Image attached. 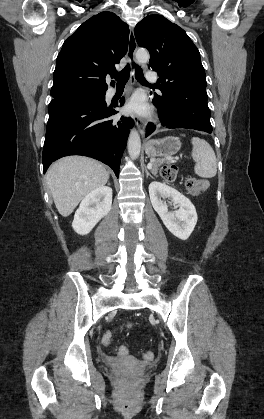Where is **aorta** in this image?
I'll use <instances>...</instances> for the list:
<instances>
[{"label":"aorta","mask_w":264,"mask_h":419,"mask_svg":"<svg viewBox=\"0 0 264 419\" xmlns=\"http://www.w3.org/2000/svg\"><path fill=\"white\" fill-rule=\"evenodd\" d=\"M136 60L139 63H146L149 60V53L145 49L136 52ZM141 150V139L136 129H132L128 138V152L132 158H137Z\"/></svg>","instance_id":"aorta-1"}]
</instances>
